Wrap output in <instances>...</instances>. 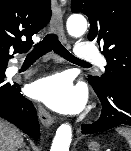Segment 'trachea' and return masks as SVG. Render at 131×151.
<instances>
[{
	"label": "trachea",
	"mask_w": 131,
	"mask_h": 151,
	"mask_svg": "<svg viewBox=\"0 0 131 151\" xmlns=\"http://www.w3.org/2000/svg\"><path fill=\"white\" fill-rule=\"evenodd\" d=\"M54 51L56 54L60 55L64 59L70 62L84 63L78 58H76L73 54H71L59 41L58 36L56 34H48L41 42H39L34 49L28 53L27 59L29 60H37L42 57L46 53L50 51Z\"/></svg>",
	"instance_id": "obj_1"
}]
</instances>
